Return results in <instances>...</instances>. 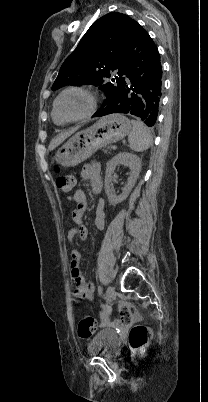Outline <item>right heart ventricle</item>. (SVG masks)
<instances>
[{
	"instance_id": "obj_1",
	"label": "right heart ventricle",
	"mask_w": 208,
	"mask_h": 402,
	"mask_svg": "<svg viewBox=\"0 0 208 402\" xmlns=\"http://www.w3.org/2000/svg\"><path fill=\"white\" fill-rule=\"evenodd\" d=\"M51 118H52L53 123L56 126H64L66 124L65 122H63L59 119V117L55 114L54 110H52V112H51Z\"/></svg>"
}]
</instances>
